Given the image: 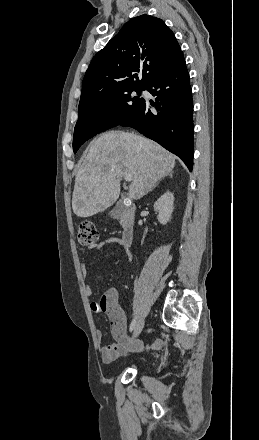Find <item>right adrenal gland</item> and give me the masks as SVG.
Returning a JSON list of instances; mask_svg holds the SVG:
<instances>
[{
  "instance_id": "obj_1",
  "label": "right adrenal gland",
  "mask_w": 259,
  "mask_h": 440,
  "mask_svg": "<svg viewBox=\"0 0 259 440\" xmlns=\"http://www.w3.org/2000/svg\"><path fill=\"white\" fill-rule=\"evenodd\" d=\"M169 176L172 177V173H170Z\"/></svg>"
}]
</instances>
